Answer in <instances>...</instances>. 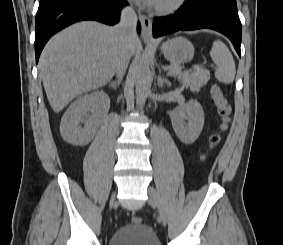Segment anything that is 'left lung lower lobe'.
<instances>
[{
    "instance_id": "obj_1",
    "label": "left lung lower lobe",
    "mask_w": 283,
    "mask_h": 245,
    "mask_svg": "<svg viewBox=\"0 0 283 245\" xmlns=\"http://www.w3.org/2000/svg\"><path fill=\"white\" fill-rule=\"evenodd\" d=\"M209 28L227 36L241 56L242 25L237 10L222 6H191L184 4L174 15L156 17L153 22L154 37L179 30Z\"/></svg>"
}]
</instances>
